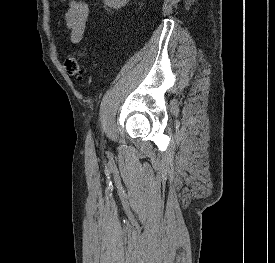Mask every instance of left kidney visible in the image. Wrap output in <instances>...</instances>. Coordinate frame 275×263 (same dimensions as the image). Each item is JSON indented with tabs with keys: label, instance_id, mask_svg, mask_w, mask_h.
<instances>
[{
	"label": "left kidney",
	"instance_id": "1",
	"mask_svg": "<svg viewBox=\"0 0 275 263\" xmlns=\"http://www.w3.org/2000/svg\"><path fill=\"white\" fill-rule=\"evenodd\" d=\"M129 0H104V3L106 5H108L109 7H113L115 9H118L124 5H126V3L128 2Z\"/></svg>",
	"mask_w": 275,
	"mask_h": 263
}]
</instances>
